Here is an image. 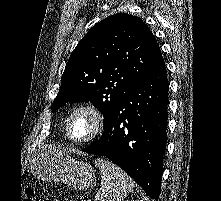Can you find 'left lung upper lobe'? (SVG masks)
Listing matches in <instances>:
<instances>
[{
  "instance_id": "left-lung-upper-lobe-1",
  "label": "left lung upper lobe",
  "mask_w": 221,
  "mask_h": 201,
  "mask_svg": "<svg viewBox=\"0 0 221 201\" xmlns=\"http://www.w3.org/2000/svg\"><path fill=\"white\" fill-rule=\"evenodd\" d=\"M163 58L141 18L111 15L94 25L72 52L52 112L68 102H88L104 116V126L121 100Z\"/></svg>"
}]
</instances>
